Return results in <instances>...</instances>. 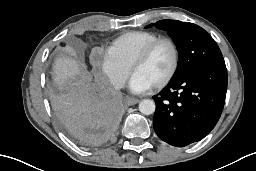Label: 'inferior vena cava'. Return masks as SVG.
I'll use <instances>...</instances> for the list:
<instances>
[{"label":"inferior vena cava","mask_w":256,"mask_h":171,"mask_svg":"<svg viewBox=\"0 0 256 171\" xmlns=\"http://www.w3.org/2000/svg\"><path fill=\"white\" fill-rule=\"evenodd\" d=\"M111 84L116 90H119L124 86V83L121 80H112Z\"/></svg>","instance_id":"obj_1"}]
</instances>
